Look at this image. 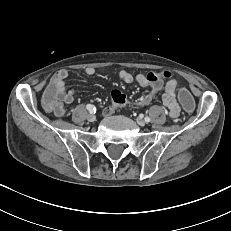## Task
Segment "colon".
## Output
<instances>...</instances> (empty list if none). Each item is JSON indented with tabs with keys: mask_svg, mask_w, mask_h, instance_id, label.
I'll use <instances>...</instances> for the list:
<instances>
[{
	"mask_svg": "<svg viewBox=\"0 0 231 231\" xmlns=\"http://www.w3.org/2000/svg\"><path fill=\"white\" fill-rule=\"evenodd\" d=\"M61 72L58 69L51 70L48 73L49 81L45 85V93H44V99H43V106L44 107H51L56 103V98L55 95L58 93V78H60ZM160 78H170L171 73L168 71H164L159 73ZM112 97V103L113 106H122L127 103L128 99L126 94L121 91V90H114L111 94ZM177 98H178V104L180 108L185 112V113H194L196 111V104H195V99L194 95L189 91L186 90L185 88H180L177 91Z\"/></svg>",
	"mask_w": 231,
	"mask_h": 231,
	"instance_id": "colon-1",
	"label": "colon"
}]
</instances>
